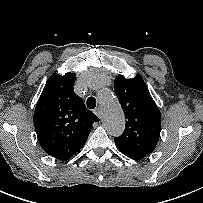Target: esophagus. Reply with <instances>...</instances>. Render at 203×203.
<instances>
[{
	"instance_id": "34e87169",
	"label": "esophagus",
	"mask_w": 203,
	"mask_h": 203,
	"mask_svg": "<svg viewBox=\"0 0 203 203\" xmlns=\"http://www.w3.org/2000/svg\"><path fill=\"white\" fill-rule=\"evenodd\" d=\"M95 114L101 119L102 118V111H101V108H96L95 109Z\"/></svg>"
}]
</instances>
